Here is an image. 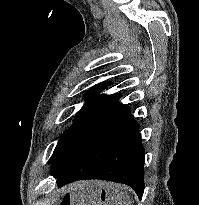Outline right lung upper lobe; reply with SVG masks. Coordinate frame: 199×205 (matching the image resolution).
I'll return each instance as SVG.
<instances>
[{"instance_id":"obj_1","label":"right lung upper lobe","mask_w":199,"mask_h":205,"mask_svg":"<svg viewBox=\"0 0 199 205\" xmlns=\"http://www.w3.org/2000/svg\"><path fill=\"white\" fill-rule=\"evenodd\" d=\"M109 85L110 82L99 83L95 85L92 89L87 91L84 95V99L86 100V102L82 107L81 111L96 112L124 121L129 120L130 118H132L130 108L119 102L121 94H99Z\"/></svg>"}]
</instances>
